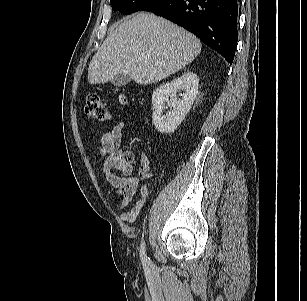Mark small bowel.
<instances>
[{"mask_svg":"<svg viewBox=\"0 0 307 301\" xmlns=\"http://www.w3.org/2000/svg\"><path fill=\"white\" fill-rule=\"evenodd\" d=\"M124 128L125 122L118 121L111 129L106 130L98 143V151L100 155H108L102 165V170L106 180L120 196L121 207L131 202L138 189L140 190L141 199L130 211L121 215L123 221L133 222L139 215L148 195L146 186L139 187L140 180L150 179L153 175L145 155L140 158L138 176L132 175L134 166L124 160L125 153L120 150Z\"/></svg>","mask_w":307,"mask_h":301,"instance_id":"obj_1","label":"small bowel"}]
</instances>
